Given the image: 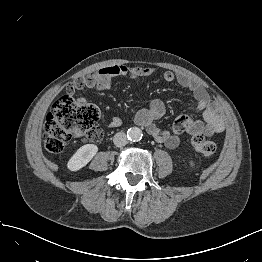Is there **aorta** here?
Instances as JSON below:
<instances>
[{"instance_id": "obj_1", "label": "aorta", "mask_w": 262, "mask_h": 262, "mask_svg": "<svg viewBox=\"0 0 262 262\" xmlns=\"http://www.w3.org/2000/svg\"><path fill=\"white\" fill-rule=\"evenodd\" d=\"M127 136L131 141H139L142 139V130L138 127H132L128 130Z\"/></svg>"}]
</instances>
